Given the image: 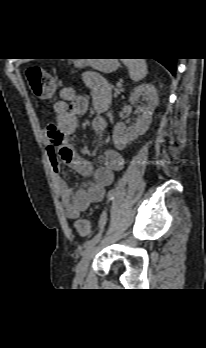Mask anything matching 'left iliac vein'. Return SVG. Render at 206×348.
Segmentation results:
<instances>
[{
  "label": "left iliac vein",
  "instance_id": "4c4485c4",
  "mask_svg": "<svg viewBox=\"0 0 206 348\" xmlns=\"http://www.w3.org/2000/svg\"><path fill=\"white\" fill-rule=\"evenodd\" d=\"M95 250H96V243L86 248L76 268V277L78 280H83L84 277L86 276L88 265L95 253Z\"/></svg>",
  "mask_w": 206,
  "mask_h": 348
}]
</instances>
